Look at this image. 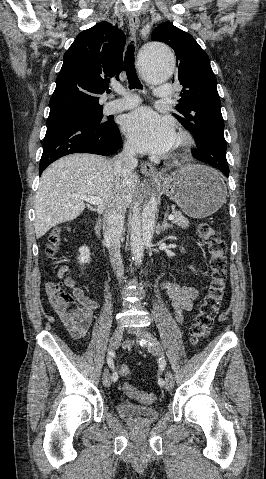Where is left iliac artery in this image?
Masks as SVG:
<instances>
[{
    "label": "left iliac artery",
    "mask_w": 266,
    "mask_h": 479,
    "mask_svg": "<svg viewBox=\"0 0 266 479\" xmlns=\"http://www.w3.org/2000/svg\"><path fill=\"white\" fill-rule=\"evenodd\" d=\"M157 366H158V368H157L158 371H160V372L163 371V369L166 368V362H165V360L162 359V358H160V361L157 363ZM158 384H159L160 386H163V385L165 384V382H164L162 379H159V380H158Z\"/></svg>",
    "instance_id": "obj_1"
}]
</instances>
